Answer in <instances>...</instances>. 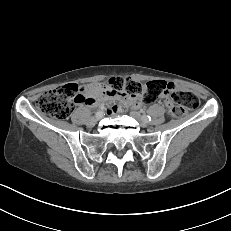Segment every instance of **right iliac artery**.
<instances>
[{
  "label": "right iliac artery",
  "instance_id": "obj_1",
  "mask_svg": "<svg viewBox=\"0 0 231 231\" xmlns=\"http://www.w3.org/2000/svg\"><path fill=\"white\" fill-rule=\"evenodd\" d=\"M100 112H102V111H98V112L96 113V115H98Z\"/></svg>",
  "mask_w": 231,
  "mask_h": 231
}]
</instances>
